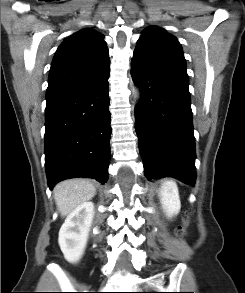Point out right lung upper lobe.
<instances>
[{
	"label": "right lung upper lobe",
	"mask_w": 245,
	"mask_h": 293,
	"mask_svg": "<svg viewBox=\"0 0 245 293\" xmlns=\"http://www.w3.org/2000/svg\"><path fill=\"white\" fill-rule=\"evenodd\" d=\"M109 53L103 35L82 29L58 47L48 79L47 102L60 98L109 72Z\"/></svg>",
	"instance_id": "obj_1"
}]
</instances>
